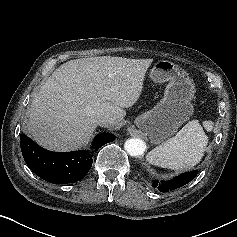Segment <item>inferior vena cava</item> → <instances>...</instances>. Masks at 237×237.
I'll return each mask as SVG.
<instances>
[{
    "mask_svg": "<svg viewBox=\"0 0 237 237\" xmlns=\"http://www.w3.org/2000/svg\"><path fill=\"white\" fill-rule=\"evenodd\" d=\"M96 122L99 125H107L115 122V119L109 115H99L96 117Z\"/></svg>",
    "mask_w": 237,
    "mask_h": 237,
    "instance_id": "1",
    "label": "inferior vena cava"
}]
</instances>
